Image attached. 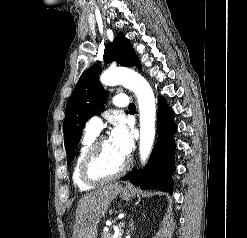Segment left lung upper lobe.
<instances>
[{"mask_svg": "<svg viewBox=\"0 0 247 238\" xmlns=\"http://www.w3.org/2000/svg\"><path fill=\"white\" fill-rule=\"evenodd\" d=\"M114 60L126 67L141 68L130 41L123 33H119L113 43L106 45L104 61L110 63ZM100 71L101 67L98 64L86 70L67 103L63 130L68 164L73 159L86 121L97 114L107 100L106 92L99 82Z\"/></svg>", "mask_w": 247, "mask_h": 238, "instance_id": "obj_1", "label": "left lung upper lobe"}]
</instances>
